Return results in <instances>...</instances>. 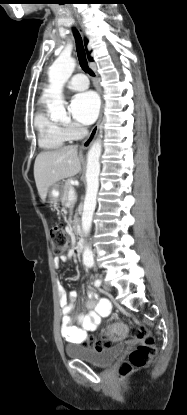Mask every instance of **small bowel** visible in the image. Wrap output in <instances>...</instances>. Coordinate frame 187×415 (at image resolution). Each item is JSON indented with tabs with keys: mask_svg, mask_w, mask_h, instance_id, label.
<instances>
[{
	"mask_svg": "<svg viewBox=\"0 0 187 415\" xmlns=\"http://www.w3.org/2000/svg\"><path fill=\"white\" fill-rule=\"evenodd\" d=\"M70 255H61L54 259L57 267L70 259ZM76 292H66L59 287V304L62 310L61 335L70 344H83L89 332L94 331L101 323V320L109 316L111 312V302L106 298H100L93 290L87 292L86 308L87 311L79 318V324L73 323L72 312Z\"/></svg>",
	"mask_w": 187,
	"mask_h": 415,
	"instance_id": "1",
	"label": "small bowel"
}]
</instances>
